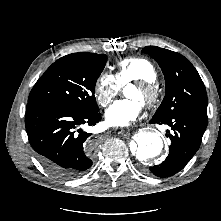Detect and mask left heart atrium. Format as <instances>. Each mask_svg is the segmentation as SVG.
Segmentation results:
<instances>
[{"label": "left heart atrium", "instance_id": "obj_1", "mask_svg": "<svg viewBox=\"0 0 221 221\" xmlns=\"http://www.w3.org/2000/svg\"><path fill=\"white\" fill-rule=\"evenodd\" d=\"M142 109V103L134 98H125L115 101L105 112L108 125L125 127L137 119Z\"/></svg>", "mask_w": 221, "mask_h": 221}]
</instances>
